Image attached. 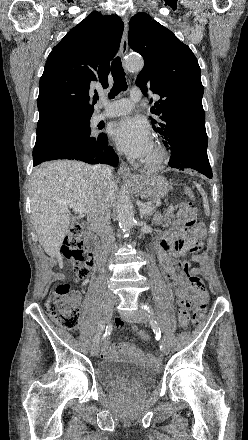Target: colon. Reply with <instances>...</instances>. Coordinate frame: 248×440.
Segmentation results:
<instances>
[{"label": "colon", "mask_w": 248, "mask_h": 440, "mask_svg": "<svg viewBox=\"0 0 248 440\" xmlns=\"http://www.w3.org/2000/svg\"><path fill=\"white\" fill-rule=\"evenodd\" d=\"M188 199L186 208L191 223H196V207L194 203V192L191 188L185 190ZM62 253L75 273L77 280L84 279L92 269L94 263L90 257L86 258V251L82 238V228L79 224L73 223L64 239ZM191 285L196 291L194 303V313L189 325L196 327L204 319L207 293L202 280L194 276L191 278ZM79 295L72 291L67 284L58 285L50 294L46 303L45 311L52 322L65 329H74L79 322ZM138 336L141 340L147 341L150 336L147 331H139Z\"/></svg>", "instance_id": "5ec220e1"}]
</instances>
